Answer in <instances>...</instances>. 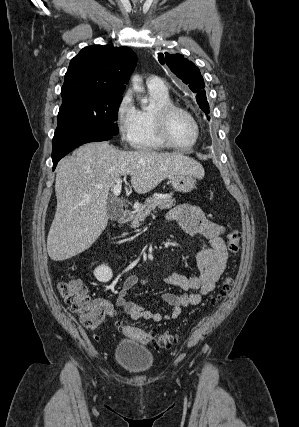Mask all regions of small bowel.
I'll use <instances>...</instances> for the list:
<instances>
[{
  "instance_id": "obj_1",
  "label": "small bowel",
  "mask_w": 299,
  "mask_h": 427,
  "mask_svg": "<svg viewBox=\"0 0 299 427\" xmlns=\"http://www.w3.org/2000/svg\"><path fill=\"white\" fill-rule=\"evenodd\" d=\"M166 219L177 221L188 234L208 239L209 248L200 252L196 257L199 269L197 275L187 277L182 274H170L166 276L167 283L184 291L183 294L172 292L162 294L163 301L171 307L168 313L151 312L128 300L126 296L134 286L147 282L146 277L128 276L119 290L116 305L123 308L133 320L146 319L163 322L177 319L183 308L200 304L203 297L214 290L226 267L228 253L223 239L225 228L222 225L207 217L199 207L189 203L179 204L172 208L167 213ZM97 304L109 317L113 318L117 315L115 306L108 300L99 299Z\"/></svg>"
}]
</instances>
